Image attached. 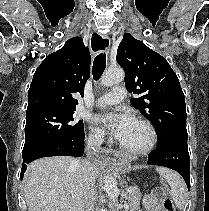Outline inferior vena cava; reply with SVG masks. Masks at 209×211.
I'll return each mask as SVG.
<instances>
[{
    "instance_id": "1",
    "label": "inferior vena cava",
    "mask_w": 209,
    "mask_h": 211,
    "mask_svg": "<svg viewBox=\"0 0 209 211\" xmlns=\"http://www.w3.org/2000/svg\"><path fill=\"white\" fill-rule=\"evenodd\" d=\"M101 141H102L101 136H95L89 139L87 142L86 150L89 151L92 146H99ZM79 164L84 174V177L89 185L85 202V209H86L85 211H94L95 194H96V188H95L96 176L94 173V166L91 164V162L85 159L79 160Z\"/></svg>"
}]
</instances>
